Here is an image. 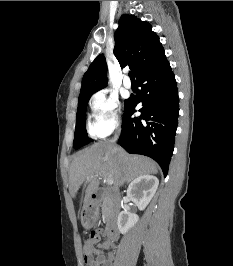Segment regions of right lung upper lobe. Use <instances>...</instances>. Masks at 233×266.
<instances>
[{
    "label": "right lung upper lobe",
    "instance_id": "obj_1",
    "mask_svg": "<svg viewBox=\"0 0 233 266\" xmlns=\"http://www.w3.org/2000/svg\"><path fill=\"white\" fill-rule=\"evenodd\" d=\"M114 39L115 57L121 67L128 64L136 77L165 55L159 37L152 31V26L133 15L121 16ZM106 70L105 57L100 54L83 76L79 99L91 96L106 86Z\"/></svg>",
    "mask_w": 233,
    "mask_h": 266
}]
</instances>
